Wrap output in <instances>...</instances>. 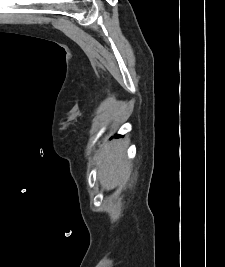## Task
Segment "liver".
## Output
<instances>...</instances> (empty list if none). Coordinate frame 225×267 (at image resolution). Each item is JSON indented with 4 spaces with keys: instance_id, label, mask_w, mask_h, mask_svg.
Instances as JSON below:
<instances>
[{
    "instance_id": "obj_1",
    "label": "liver",
    "mask_w": 225,
    "mask_h": 267,
    "mask_svg": "<svg viewBox=\"0 0 225 267\" xmlns=\"http://www.w3.org/2000/svg\"><path fill=\"white\" fill-rule=\"evenodd\" d=\"M127 144L124 141L110 143L105 150L97 153L90 163L98 165V178L106 190L114 189L125 182L131 173V165L126 161Z\"/></svg>"
}]
</instances>
